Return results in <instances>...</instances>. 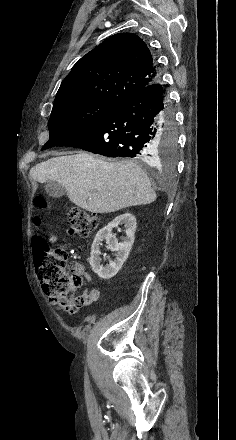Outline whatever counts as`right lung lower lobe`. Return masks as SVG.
<instances>
[{
  "label": "right lung lower lobe",
  "instance_id": "right-lung-lower-lobe-1",
  "mask_svg": "<svg viewBox=\"0 0 236 440\" xmlns=\"http://www.w3.org/2000/svg\"><path fill=\"white\" fill-rule=\"evenodd\" d=\"M166 100L165 85L156 81L59 146L149 161L160 134L174 130L173 114Z\"/></svg>",
  "mask_w": 236,
  "mask_h": 440
}]
</instances>
